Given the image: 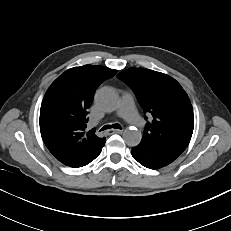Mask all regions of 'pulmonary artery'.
<instances>
[{
  "mask_svg": "<svg viewBox=\"0 0 231 231\" xmlns=\"http://www.w3.org/2000/svg\"><path fill=\"white\" fill-rule=\"evenodd\" d=\"M117 114L128 121L130 124L141 128L143 126V121L139 118L136 113L134 106V98L131 93L125 92L122 95L119 110Z\"/></svg>",
  "mask_w": 231,
  "mask_h": 231,
  "instance_id": "obj_1",
  "label": "pulmonary artery"
}]
</instances>
